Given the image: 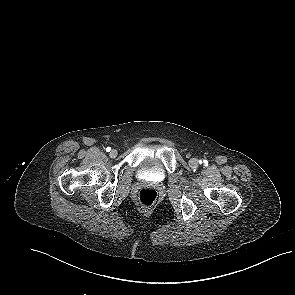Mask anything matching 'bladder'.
I'll return each mask as SVG.
<instances>
[{"label":"bladder","instance_id":"obj_1","mask_svg":"<svg viewBox=\"0 0 295 295\" xmlns=\"http://www.w3.org/2000/svg\"><path fill=\"white\" fill-rule=\"evenodd\" d=\"M139 170L147 175H155L157 177L164 176V169L162 164L156 158L146 157L139 166Z\"/></svg>","mask_w":295,"mask_h":295}]
</instances>
